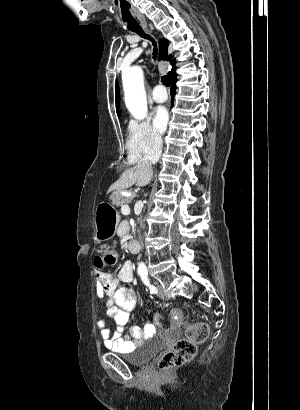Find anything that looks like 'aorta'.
Returning <instances> with one entry per match:
<instances>
[{"label":"aorta","mask_w":300,"mask_h":410,"mask_svg":"<svg viewBox=\"0 0 300 410\" xmlns=\"http://www.w3.org/2000/svg\"><path fill=\"white\" fill-rule=\"evenodd\" d=\"M122 82L127 109L134 118L144 119L148 109L142 68L136 65L125 70L122 73ZM138 270H146L144 262L138 264Z\"/></svg>","instance_id":"aorta-1"}]
</instances>
